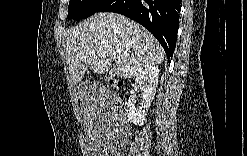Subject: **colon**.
Listing matches in <instances>:
<instances>
[{"label": "colon", "mask_w": 247, "mask_h": 156, "mask_svg": "<svg viewBox=\"0 0 247 156\" xmlns=\"http://www.w3.org/2000/svg\"><path fill=\"white\" fill-rule=\"evenodd\" d=\"M107 83H108L111 87L116 88V89L122 87V82L119 81V80L116 79V78H107Z\"/></svg>", "instance_id": "obj_1"}]
</instances>
